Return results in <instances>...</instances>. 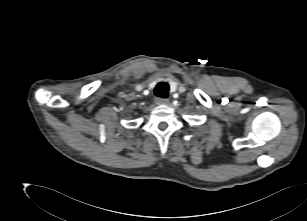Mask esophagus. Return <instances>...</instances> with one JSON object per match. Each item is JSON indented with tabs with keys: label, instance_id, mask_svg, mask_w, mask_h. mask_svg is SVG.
I'll return each mask as SVG.
<instances>
[{
	"label": "esophagus",
	"instance_id": "obj_1",
	"mask_svg": "<svg viewBox=\"0 0 307 221\" xmlns=\"http://www.w3.org/2000/svg\"><path fill=\"white\" fill-rule=\"evenodd\" d=\"M155 103L157 105H168L169 104V99L166 98H156Z\"/></svg>",
	"mask_w": 307,
	"mask_h": 221
}]
</instances>
